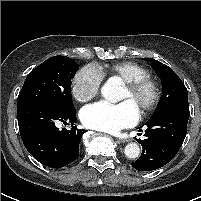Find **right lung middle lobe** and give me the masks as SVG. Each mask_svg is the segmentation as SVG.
<instances>
[{"label":"right lung middle lobe","mask_w":201,"mask_h":201,"mask_svg":"<svg viewBox=\"0 0 201 201\" xmlns=\"http://www.w3.org/2000/svg\"><path fill=\"white\" fill-rule=\"evenodd\" d=\"M79 65L66 56H54L33 69L26 77L17 99V109L31 103H49L62 111L75 110L71 80Z\"/></svg>","instance_id":"1"}]
</instances>
